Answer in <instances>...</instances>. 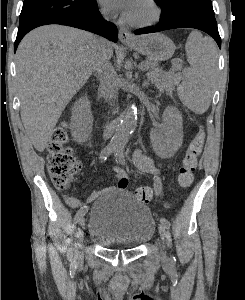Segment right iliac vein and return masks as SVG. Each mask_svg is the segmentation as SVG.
I'll list each match as a JSON object with an SVG mask.
<instances>
[{
    "mask_svg": "<svg viewBox=\"0 0 245 300\" xmlns=\"http://www.w3.org/2000/svg\"><path fill=\"white\" fill-rule=\"evenodd\" d=\"M84 224H85V218L82 217L79 220V225H80V227H83ZM76 236H77V239H78V243H77L78 249L76 251V255H77V257L80 258L82 256L81 248H82V240H83V237H84V233H83L81 228H78Z\"/></svg>",
    "mask_w": 245,
    "mask_h": 300,
    "instance_id": "63e3f726",
    "label": "right iliac vein"
}]
</instances>
